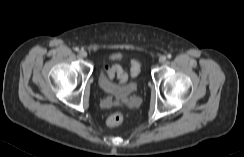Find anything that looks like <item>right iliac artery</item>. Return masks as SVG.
Wrapping results in <instances>:
<instances>
[{
	"label": "right iliac artery",
	"instance_id": "obj_1",
	"mask_svg": "<svg viewBox=\"0 0 244 157\" xmlns=\"http://www.w3.org/2000/svg\"><path fill=\"white\" fill-rule=\"evenodd\" d=\"M75 51H79V48H78V47H76V48H75Z\"/></svg>",
	"mask_w": 244,
	"mask_h": 157
}]
</instances>
